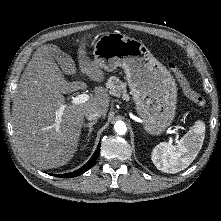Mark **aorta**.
I'll return each instance as SVG.
<instances>
[{"label": "aorta", "instance_id": "aorta-1", "mask_svg": "<svg viewBox=\"0 0 221 221\" xmlns=\"http://www.w3.org/2000/svg\"><path fill=\"white\" fill-rule=\"evenodd\" d=\"M114 130L118 135H124L127 131L126 124L123 121H117L114 125Z\"/></svg>", "mask_w": 221, "mask_h": 221}]
</instances>
